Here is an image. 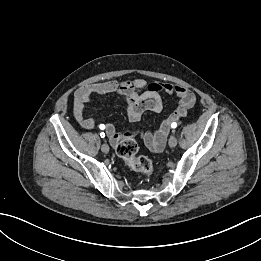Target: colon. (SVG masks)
I'll list each match as a JSON object with an SVG mask.
<instances>
[{
    "mask_svg": "<svg viewBox=\"0 0 261 261\" xmlns=\"http://www.w3.org/2000/svg\"><path fill=\"white\" fill-rule=\"evenodd\" d=\"M138 145L132 133L126 134L116 145L120 158L135 172L151 176L154 171L151 160L145 156H137Z\"/></svg>",
    "mask_w": 261,
    "mask_h": 261,
    "instance_id": "1",
    "label": "colon"
}]
</instances>
